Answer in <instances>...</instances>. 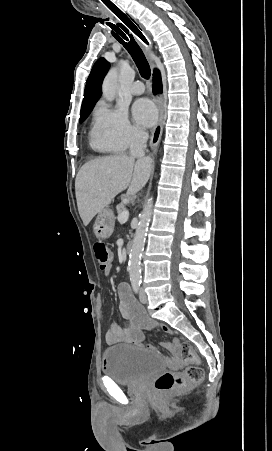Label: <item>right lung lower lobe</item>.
<instances>
[{
    "label": "right lung lower lobe",
    "instance_id": "right-lung-lower-lobe-1",
    "mask_svg": "<svg viewBox=\"0 0 272 451\" xmlns=\"http://www.w3.org/2000/svg\"><path fill=\"white\" fill-rule=\"evenodd\" d=\"M153 75H154L153 76L154 92H156L157 88L161 89V77H160V73L158 72V70H155Z\"/></svg>",
    "mask_w": 272,
    "mask_h": 451
}]
</instances>
